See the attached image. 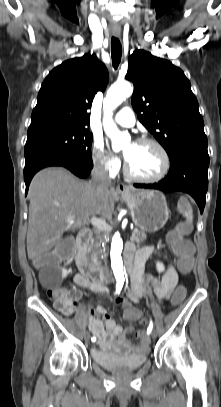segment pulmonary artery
Instances as JSON below:
<instances>
[{"instance_id": "e3ab8cb5", "label": "pulmonary artery", "mask_w": 221, "mask_h": 407, "mask_svg": "<svg viewBox=\"0 0 221 407\" xmlns=\"http://www.w3.org/2000/svg\"><path fill=\"white\" fill-rule=\"evenodd\" d=\"M115 122L124 127H132L135 124V115L131 108H122L114 118Z\"/></svg>"}]
</instances>
